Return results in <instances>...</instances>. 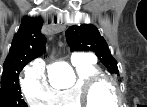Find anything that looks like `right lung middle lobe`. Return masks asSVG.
I'll use <instances>...</instances> for the list:
<instances>
[{
    "label": "right lung middle lobe",
    "instance_id": "right-lung-middle-lobe-1",
    "mask_svg": "<svg viewBox=\"0 0 147 107\" xmlns=\"http://www.w3.org/2000/svg\"><path fill=\"white\" fill-rule=\"evenodd\" d=\"M33 59L21 64V70L26 64ZM20 70V72H21ZM14 72L2 76L1 89H0V107H27V104L22 100L20 86H19V73Z\"/></svg>",
    "mask_w": 147,
    "mask_h": 107
}]
</instances>
